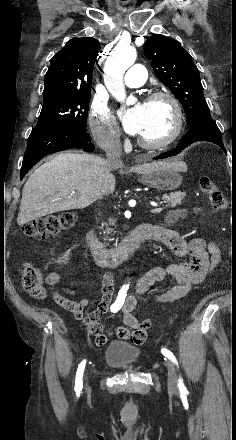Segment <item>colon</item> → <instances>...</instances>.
Listing matches in <instances>:
<instances>
[{"label": "colon", "instance_id": "obj_1", "mask_svg": "<svg viewBox=\"0 0 236 440\" xmlns=\"http://www.w3.org/2000/svg\"><path fill=\"white\" fill-rule=\"evenodd\" d=\"M199 186L202 193L209 199L215 211H223L226 209L227 200L223 192L208 176H201L199 178ZM231 212V209H228ZM76 221V214L72 211L60 212L50 214L48 216L38 218L26 224L23 227V233L29 237L42 239L48 236H53L61 231L70 228ZM21 284L23 288L29 292L33 297L42 299L45 296L43 286V276L40 270L32 265H24L21 269ZM88 321V320H87ZM151 326V320L145 319L142 321L141 330L146 332ZM144 339H131L133 342Z\"/></svg>", "mask_w": 236, "mask_h": 440}]
</instances>
